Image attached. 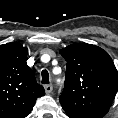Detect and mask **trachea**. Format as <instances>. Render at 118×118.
<instances>
[{
    "instance_id": "3493384b",
    "label": "trachea",
    "mask_w": 118,
    "mask_h": 118,
    "mask_svg": "<svg viewBox=\"0 0 118 118\" xmlns=\"http://www.w3.org/2000/svg\"><path fill=\"white\" fill-rule=\"evenodd\" d=\"M41 76H42V83L43 84H48L49 83L48 71L47 70H42Z\"/></svg>"
}]
</instances>
